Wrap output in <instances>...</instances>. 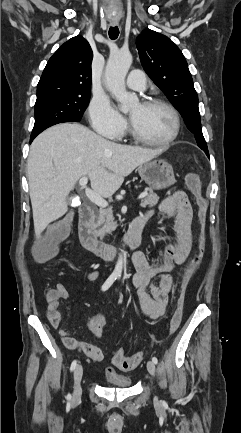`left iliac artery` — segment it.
Returning <instances> with one entry per match:
<instances>
[{
    "label": "left iliac artery",
    "instance_id": "obj_1",
    "mask_svg": "<svg viewBox=\"0 0 241 433\" xmlns=\"http://www.w3.org/2000/svg\"><path fill=\"white\" fill-rule=\"evenodd\" d=\"M152 361L154 362V364H157V363H158V359H157L156 357H153V358H152Z\"/></svg>",
    "mask_w": 241,
    "mask_h": 433
}]
</instances>
